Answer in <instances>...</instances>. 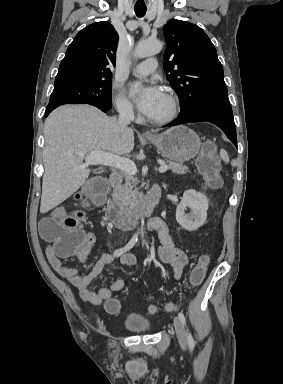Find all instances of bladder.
Listing matches in <instances>:
<instances>
[{"label": "bladder", "mask_w": 283, "mask_h": 384, "mask_svg": "<svg viewBox=\"0 0 283 384\" xmlns=\"http://www.w3.org/2000/svg\"><path fill=\"white\" fill-rule=\"evenodd\" d=\"M122 327L127 328L133 335H138L151 332L153 324L140 312L129 311L122 321Z\"/></svg>", "instance_id": "bladder-1"}]
</instances>
